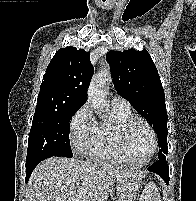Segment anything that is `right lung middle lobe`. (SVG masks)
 Listing matches in <instances>:
<instances>
[{
  "label": "right lung middle lobe",
  "mask_w": 196,
  "mask_h": 201,
  "mask_svg": "<svg viewBox=\"0 0 196 201\" xmlns=\"http://www.w3.org/2000/svg\"><path fill=\"white\" fill-rule=\"evenodd\" d=\"M78 109L36 108L28 139L26 163L52 156L73 157L68 125Z\"/></svg>",
  "instance_id": "right-lung-middle-lobe-1"
}]
</instances>
